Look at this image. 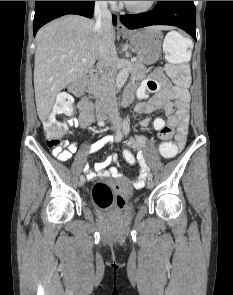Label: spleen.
I'll use <instances>...</instances> for the list:
<instances>
[{
  "label": "spleen",
  "mask_w": 233,
  "mask_h": 295,
  "mask_svg": "<svg viewBox=\"0 0 233 295\" xmlns=\"http://www.w3.org/2000/svg\"><path fill=\"white\" fill-rule=\"evenodd\" d=\"M165 58L168 62L177 64L191 59V40L176 31L169 32L163 42Z\"/></svg>",
  "instance_id": "1"
}]
</instances>
